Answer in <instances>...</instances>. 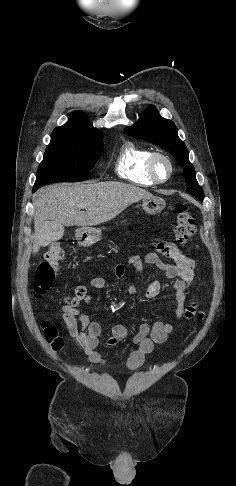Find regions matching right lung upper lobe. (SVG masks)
<instances>
[{
    "label": "right lung upper lobe",
    "instance_id": "right-lung-upper-lobe-1",
    "mask_svg": "<svg viewBox=\"0 0 236 486\" xmlns=\"http://www.w3.org/2000/svg\"><path fill=\"white\" fill-rule=\"evenodd\" d=\"M52 137H66L94 143L102 141L103 134L92 126L85 113L73 111L66 124L53 130Z\"/></svg>",
    "mask_w": 236,
    "mask_h": 486
}]
</instances>
